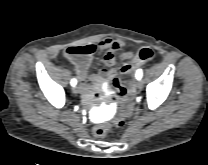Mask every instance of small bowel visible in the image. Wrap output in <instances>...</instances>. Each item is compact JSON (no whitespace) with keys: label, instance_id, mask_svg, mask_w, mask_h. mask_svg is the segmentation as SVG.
Returning <instances> with one entry per match:
<instances>
[{"label":"small bowel","instance_id":"c3829d8e","mask_svg":"<svg viewBox=\"0 0 208 165\" xmlns=\"http://www.w3.org/2000/svg\"><path fill=\"white\" fill-rule=\"evenodd\" d=\"M88 48V53L80 56H65L67 62H69L75 69L77 77L79 79L80 85L79 90L85 96L91 90L99 89L105 81L110 82V89L107 94V101L109 103H116L119 100L120 90L122 89V82L117 80V71L113 68L102 69L98 73L88 76V68L92 59L93 54L97 49L105 51V63L109 66L116 62V52L122 46L118 41L112 40L110 38L102 39L97 45L95 44H85L83 45ZM133 54L128 52L120 56L122 60H129L130 56ZM99 97V95H96Z\"/></svg>","mask_w":208,"mask_h":165}]
</instances>
